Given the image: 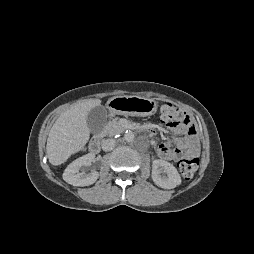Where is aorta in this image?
Here are the masks:
<instances>
[{
    "label": "aorta",
    "instance_id": "obj_1",
    "mask_svg": "<svg viewBox=\"0 0 254 254\" xmlns=\"http://www.w3.org/2000/svg\"><path fill=\"white\" fill-rule=\"evenodd\" d=\"M124 139L126 142H132L134 140V133L133 132H127L124 135Z\"/></svg>",
    "mask_w": 254,
    "mask_h": 254
}]
</instances>
